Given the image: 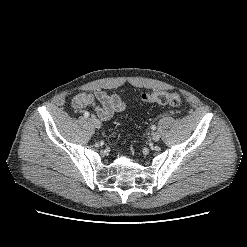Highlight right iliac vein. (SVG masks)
Listing matches in <instances>:
<instances>
[{"label":"right iliac vein","instance_id":"right-iliac-vein-1","mask_svg":"<svg viewBox=\"0 0 247 247\" xmlns=\"http://www.w3.org/2000/svg\"><path fill=\"white\" fill-rule=\"evenodd\" d=\"M90 121L92 122V124L96 127V128H100L101 127V122L95 118V117H91Z\"/></svg>","mask_w":247,"mask_h":247}]
</instances>
